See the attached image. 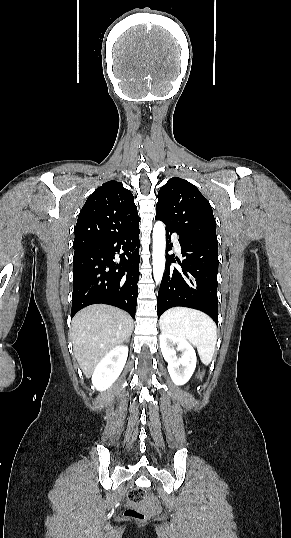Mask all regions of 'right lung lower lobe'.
I'll use <instances>...</instances> for the list:
<instances>
[{"mask_svg": "<svg viewBox=\"0 0 291 538\" xmlns=\"http://www.w3.org/2000/svg\"><path fill=\"white\" fill-rule=\"evenodd\" d=\"M137 227L106 242L74 251L71 317L96 303L116 306L135 317L139 280V241ZM116 264L114 256L119 254Z\"/></svg>", "mask_w": 291, "mask_h": 538, "instance_id": "98d812e1", "label": "right lung lower lobe"}]
</instances>
